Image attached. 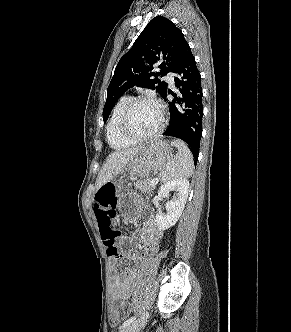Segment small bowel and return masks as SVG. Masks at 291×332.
Listing matches in <instances>:
<instances>
[{
    "mask_svg": "<svg viewBox=\"0 0 291 332\" xmlns=\"http://www.w3.org/2000/svg\"><path fill=\"white\" fill-rule=\"evenodd\" d=\"M103 190H114L111 183L102 184L96 192V195ZM95 195V198H96ZM94 213L96 215L95 200H94ZM141 240L140 252L132 256L130 251L125 248L126 244L131 243L133 238L131 236L124 237L122 239V250L118 255L121 259H131V265L126 269L123 275L115 276L111 286V298L113 301L118 302L120 305H124L131 297L136 283V266L143 259L152 255L158 250L159 243L162 237L161 231L158 229L154 221L148 220L144 223L142 229L139 232Z\"/></svg>",
    "mask_w": 291,
    "mask_h": 332,
    "instance_id": "1",
    "label": "small bowel"
}]
</instances>
